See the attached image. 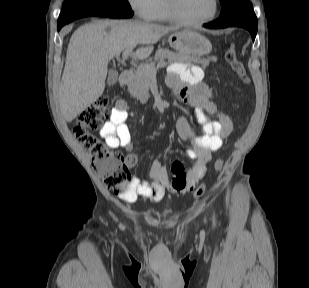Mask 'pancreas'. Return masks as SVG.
<instances>
[{
  "label": "pancreas",
  "mask_w": 309,
  "mask_h": 288,
  "mask_svg": "<svg viewBox=\"0 0 309 288\" xmlns=\"http://www.w3.org/2000/svg\"><path fill=\"white\" fill-rule=\"evenodd\" d=\"M154 60L158 63L167 60L168 64L175 62L196 63L202 67L208 66L211 61H215L214 58L190 57L169 51L168 49L157 50ZM145 65L154 67L155 62L150 61L143 64V66ZM143 66L140 65L137 67L133 81L128 85V91L132 97L137 98L141 103H146L150 97L149 87L151 74Z\"/></svg>",
  "instance_id": "obj_1"
}]
</instances>
